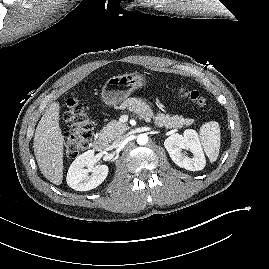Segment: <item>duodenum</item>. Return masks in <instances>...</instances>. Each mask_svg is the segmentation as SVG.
<instances>
[{
  "mask_svg": "<svg viewBox=\"0 0 269 269\" xmlns=\"http://www.w3.org/2000/svg\"><path fill=\"white\" fill-rule=\"evenodd\" d=\"M107 140L104 137H98L94 140L93 147L96 151H104L107 148Z\"/></svg>",
  "mask_w": 269,
  "mask_h": 269,
  "instance_id": "obj_1",
  "label": "duodenum"
}]
</instances>
